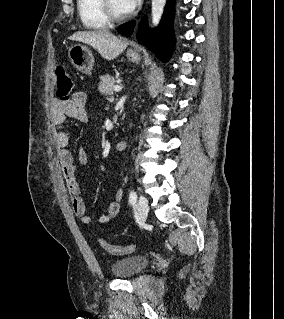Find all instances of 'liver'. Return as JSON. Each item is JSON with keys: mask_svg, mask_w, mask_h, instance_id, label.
Wrapping results in <instances>:
<instances>
[{"mask_svg": "<svg viewBox=\"0 0 284 319\" xmlns=\"http://www.w3.org/2000/svg\"><path fill=\"white\" fill-rule=\"evenodd\" d=\"M69 39L92 46L106 60L115 59L129 45L127 40L119 39L109 30L78 31Z\"/></svg>", "mask_w": 284, "mask_h": 319, "instance_id": "6515ba94", "label": "liver"}]
</instances>
